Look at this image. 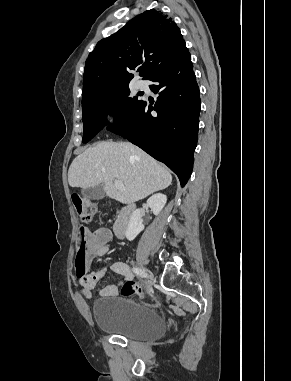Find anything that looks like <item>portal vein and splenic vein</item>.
Here are the masks:
<instances>
[{"label": "portal vein and splenic vein", "mask_w": 291, "mask_h": 381, "mask_svg": "<svg viewBox=\"0 0 291 381\" xmlns=\"http://www.w3.org/2000/svg\"><path fill=\"white\" fill-rule=\"evenodd\" d=\"M114 185H115V187H117L118 189H121V190H124L125 188H124V185H123V183H122V181H120V180H114Z\"/></svg>", "instance_id": "1"}]
</instances>
